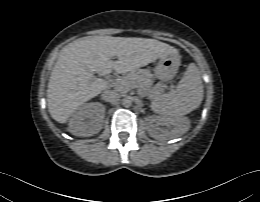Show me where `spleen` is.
Wrapping results in <instances>:
<instances>
[{"mask_svg": "<svg viewBox=\"0 0 260 202\" xmlns=\"http://www.w3.org/2000/svg\"><path fill=\"white\" fill-rule=\"evenodd\" d=\"M203 100V84L200 72L191 63L176 90L164 94L151 103V109L162 117H179L198 108ZM183 129L179 135L185 133Z\"/></svg>", "mask_w": 260, "mask_h": 202, "instance_id": "3e777b00", "label": "spleen"}]
</instances>
